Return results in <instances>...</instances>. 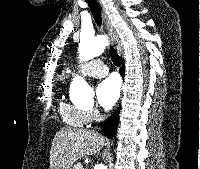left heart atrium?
Segmentation results:
<instances>
[{"label":"left heart atrium","instance_id":"1","mask_svg":"<svg viewBox=\"0 0 200 169\" xmlns=\"http://www.w3.org/2000/svg\"><path fill=\"white\" fill-rule=\"evenodd\" d=\"M97 100L100 106L109 109L115 105L120 96V80L117 76H110L99 83Z\"/></svg>","mask_w":200,"mask_h":169}]
</instances>
